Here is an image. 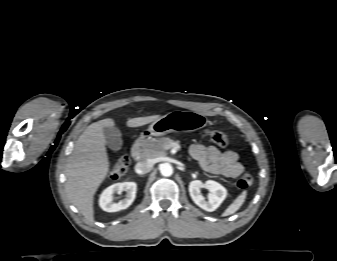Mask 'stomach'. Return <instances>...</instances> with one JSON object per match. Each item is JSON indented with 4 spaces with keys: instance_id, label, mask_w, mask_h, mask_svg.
Here are the masks:
<instances>
[{
    "instance_id": "1",
    "label": "stomach",
    "mask_w": 337,
    "mask_h": 261,
    "mask_svg": "<svg viewBox=\"0 0 337 261\" xmlns=\"http://www.w3.org/2000/svg\"><path fill=\"white\" fill-rule=\"evenodd\" d=\"M208 119L201 113L195 111L175 110L155 120L144 136H163L171 132H193L204 128Z\"/></svg>"
}]
</instances>
